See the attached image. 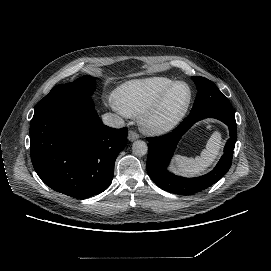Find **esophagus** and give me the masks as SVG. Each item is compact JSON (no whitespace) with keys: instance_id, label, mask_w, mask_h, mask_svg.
<instances>
[{"instance_id":"esophagus-1","label":"esophagus","mask_w":271,"mask_h":271,"mask_svg":"<svg viewBox=\"0 0 271 271\" xmlns=\"http://www.w3.org/2000/svg\"><path fill=\"white\" fill-rule=\"evenodd\" d=\"M139 138V134L137 133V132H135V131H133V130H130L129 132H128V140L129 141H134V140H136V139H138Z\"/></svg>"}]
</instances>
